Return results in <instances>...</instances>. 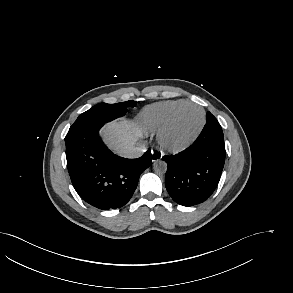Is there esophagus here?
I'll use <instances>...</instances> for the list:
<instances>
[{"label": "esophagus", "mask_w": 293, "mask_h": 293, "mask_svg": "<svg viewBox=\"0 0 293 293\" xmlns=\"http://www.w3.org/2000/svg\"><path fill=\"white\" fill-rule=\"evenodd\" d=\"M162 158V153L159 151H152V162H157L161 160Z\"/></svg>", "instance_id": "34e87169"}]
</instances>
